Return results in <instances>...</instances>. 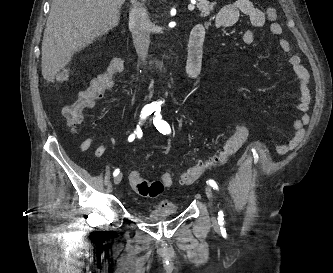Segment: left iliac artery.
Masks as SVG:
<instances>
[{
  "label": "left iliac artery",
  "instance_id": "44dca946",
  "mask_svg": "<svg viewBox=\"0 0 333 273\" xmlns=\"http://www.w3.org/2000/svg\"><path fill=\"white\" fill-rule=\"evenodd\" d=\"M160 111H161L160 109H156V111L154 113L155 117L153 118V123L160 133H162L164 135L169 134V133H171V128L166 121L162 120ZM208 184L211 187H213V189L218 190V185L216 184V182L214 180H209ZM223 216H224L223 211L220 210L218 213V223L219 224H223V220H224Z\"/></svg>",
  "mask_w": 333,
  "mask_h": 273
}]
</instances>
